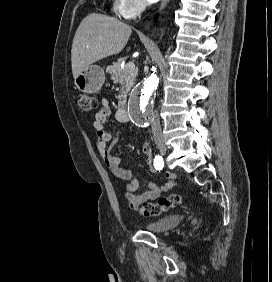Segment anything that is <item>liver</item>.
I'll return each mask as SVG.
<instances>
[{
	"label": "liver",
	"mask_w": 272,
	"mask_h": 282,
	"mask_svg": "<svg viewBox=\"0 0 272 282\" xmlns=\"http://www.w3.org/2000/svg\"><path fill=\"white\" fill-rule=\"evenodd\" d=\"M131 32L129 25L115 17L99 13L87 15L80 23L72 43L74 79L92 63L120 53Z\"/></svg>",
	"instance_id": "1"
}]
</instances>
